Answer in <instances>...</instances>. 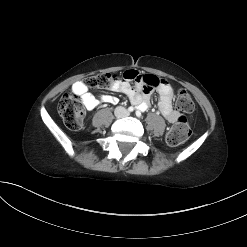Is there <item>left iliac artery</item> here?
<instances>
[{
	"instance_id": "44dca946",
	"label": "left iliac artery",
	"mask_w": 247,
	"mask_h": 247,
	"mask_svg": "<svg viewBox=\"0 0 247 247\" xmlns=\"http://www.w3.org/2000/svg\"><path fill=\"white\" fill-rule=\"evenodd\" d=\"M136 115L137 117H140L141 116V112L139 110L136 111Z\"/></svg>"
}]
</instances>
